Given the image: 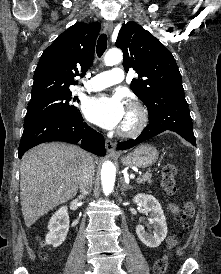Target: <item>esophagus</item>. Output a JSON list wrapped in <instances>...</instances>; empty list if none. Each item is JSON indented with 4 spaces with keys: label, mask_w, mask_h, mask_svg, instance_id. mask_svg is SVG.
I'll return each instance as SVG.
<instances>
[{
    "label": "esophagus",
    "mask_w": 221,
    "mask_h": 274,
    "mask_svg": "<svg viewBox=\"0 0 221 274\" xmlns=\"http://www.w3.org/2000/svg\"><path fill=\"white\" fill-rule=\"evenodd\" d=\"M113 29V22L112 21H106L104 23V30L106 33H110ZM105 147H106V150L108 153L110 154H116L117 151H116V144L112 141V140H109V139H106L105 140Z\"/></svg>",
    "instance_id": "esophagus-1"
}]
</instances>
